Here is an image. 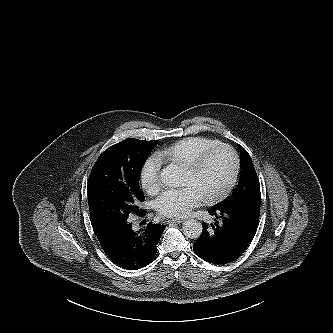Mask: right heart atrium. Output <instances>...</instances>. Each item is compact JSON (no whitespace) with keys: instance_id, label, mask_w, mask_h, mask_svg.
<instances>
[{"instance_id":"d8ad5b80","label":"right heart atrium","mask_w":333,"mask_h":333,"mask_svg":"<svg viewBox=\"0 0 333 333\" xmlns=\"http://www.w3.org/2000/svg\"><path fill=\"white\" fill-rule=\"evenodd\" d=\"M162 165L163 159L161 156L159 154H152L145 159L140 168V185L150 195L157 194L161 189L160 172Z\"/></svg>"}]
</instances>
